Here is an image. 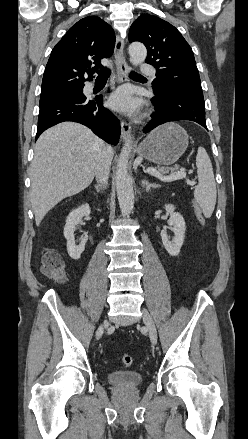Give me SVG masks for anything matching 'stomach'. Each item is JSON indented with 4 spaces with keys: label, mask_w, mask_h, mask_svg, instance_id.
<instances>
[{
    "label": "stomach",
    "mask_w": 248,
    "mask_h": 439,
    "mask_svg": "<svg viewBox=\"0 0 248 439\" xmlns=\"http://www.w3.org/2000/svg\"><path fill=\"white\" fill-rule=\"evenodd\" d=\"M188 134L174 122L154 129L139 145L140 156L162 166L175 163L188 147Z\"/></svg>",
    "instance_id": "0dacf381"
}]
</instances>
